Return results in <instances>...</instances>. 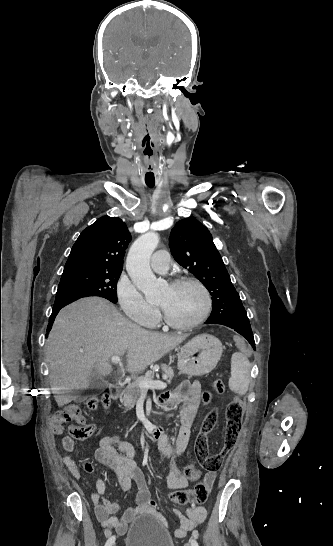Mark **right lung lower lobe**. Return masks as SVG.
I'll use <instances>...</instances> for the list:
<instances>
[{"label": "right lung lower lobe", "mask_w": 333, "mask_h": 546, "mask_svg": "<svg viewBox=\"0 0 333 546\" xmlns=\"http://www.w3.org/2000/svg\"><path fill=\"white\" fill-rule=\"evenodd\" d=\"M60 309L61 308L53 309L52 314L50 316L49 324H48V327H47V332H49L51 330L53 321H54L56 315L58 314V312L60 311ZM46 337H47V334H46Z\"/></svg>", "instance_id": "98d812e1"}]
</instances>
